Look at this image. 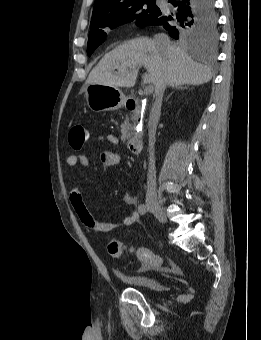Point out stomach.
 Listing matches in <instances>:
<instances>
[{
    "label": "stomach",
    "mask_w": 261,
    "mask_h": 340,
    "mask_svg": "<svg viewBox=\"0 0 261 340\" xmlns=\"http://www.w3.org/2000/svg\"><path fill=\"white\" fill-rule=\"evenodd\" d=\"M88 107L94 112L114 111L123 106L125 95L118 87L88 84L85 86Z\"/></svg>",
    "instance_id": "obj_1"
}]
</instances>
